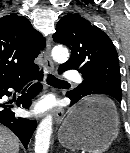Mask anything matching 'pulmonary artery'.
<instances>
[{
    "instance_id": "e3ab8cb5",
    "label": "pulmonary artery",
    "mask_w": 130,
    "mask_h": 153,
    "mask_svg": "<svg viewBox=\"0 0 130 153\" xmlns=\"http://www.w3.org/2000/svg\"><path fill=\"white\" fill-rule=\"evenodd\" d=\"M65 77L68 80H71V81L76 82V83H80L82 81L81 75L78 72L72 71V70L67 71L66 74H65Z\"/></svg>"
}]
</instances>
